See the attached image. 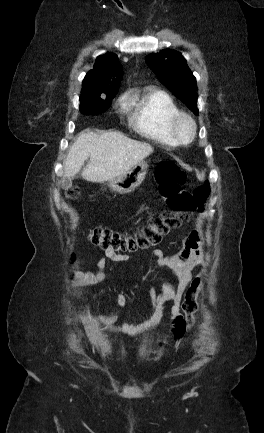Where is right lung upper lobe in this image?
<instances>
[{"label":"right lung upper lobe","mask_w":264,"mask_h":433,"mask_svg":"<svg viewBox=\"0 0 264 433\" xmlns=\"http://www.w3.org/2000/svg\"><path fill=\"white\" fill-rule=\"evenodd\" d=\"M123 68L116 55L99 56L83 81L80 99L104 98L115 95L122 80Z\"/></svg>","instance_id":"cb5924a9"}]
</instances>
